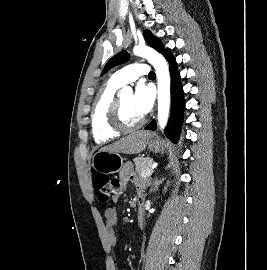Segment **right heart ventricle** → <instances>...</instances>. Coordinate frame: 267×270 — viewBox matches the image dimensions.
I'll return each instance as SVG.
<instances>
[{"mask_svg": "<svg viewBox=\"0 0 267 270\" xmlns=\"http://www.w3.org/2000/svg\"><path fill=\"white\" fill-rule=\"evenodd\" d=\"M121 86L110 78L96 97L92 112V134L98 144H105L121 134L109 124L110 109L115 100L116 91Z\"/></svg>", "mask_w": 267, "mask_h": 270, "instance_id": "obj_1", "label": "right heart ventricle"}]
</instances>
